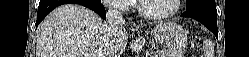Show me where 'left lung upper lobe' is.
I'll list each match as a JSON object with an SVG mask.
<instances>
[{
    "label": "left lung upper lobe",
    "instance_id": "left-lung-upper-lobe-1",
    "mask_svg": "<svg viewBox=\"0 0 249 57\" xmlns=\"http://www.w3.org/2000/svg\"><path fill=\"white\" fill-rule=\"evenodd\" d=\"M200 0H187V6L193 5L196 2H199Z\"/></svg>",
    "mask_w": 249,
    "mask_h": 57
}]
</instances>
